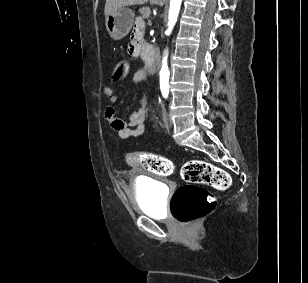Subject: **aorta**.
Returning a JSON list of instances; mask_svg holds the SVG:
<instances>
[{
    "label": "aorta",
    "instance_id": "762f6f07",
    "mask_svg": "<svg viewBox=\"0 0 308 283\" xmlns=\"http://www.w3.org/2000/svg\"><path fill=\"white\" fill-rule=\"evenodd\" d=\"M182 0H170L169 15H168V28L166 34L170 35L177 21ZM170 72L167 65V55L163 57L162 67L160 70V84L161 87H168Z\"/></svg>",
    "mask_w": 308,
    "mask_h": 283
}]
</instances>
